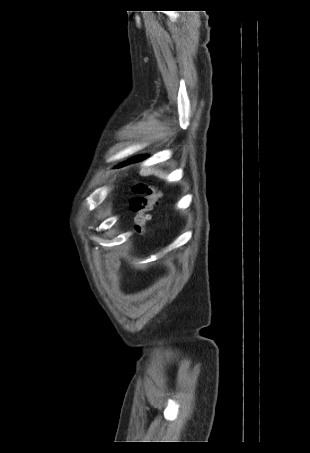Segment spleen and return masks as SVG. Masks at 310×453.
Listing matches in <instances>:
<instances>
[{"label": "spleen", "instance_id": "obj_1", "mask_svg": "<svg viewBox=\"0 0 310 453\" xmlns=\"http://www.w3.org/2000/svg\"><path fill=\"white\" fill-rule=\"evenodd\" d=\"M149 174H154L155 176H158L159 178H162V179H165L166 178V174L160 170H156V169H150L147 171Z\"/></svg>", "mask_w": 310, "mask_h": 453}]
</instances>
